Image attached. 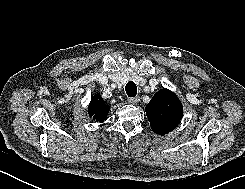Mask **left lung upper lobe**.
<instances>
[{"label": "left lung upper lobe", "instance_id": "5c2ea615", "mask_svg": "<svg viewBox=\"0 0 245 189\" xmlns=\"http://www.w3.org/2000/svg\"><path fill=\"white\" fill-rule=\"evenodd\" d=\"M150 126L156 134L165 135L174 130L183 115L179 98L168 89L159 90L146 106Z\"/></svg>", "mask_w": 245, "mask_h": 189}]
</instances>
